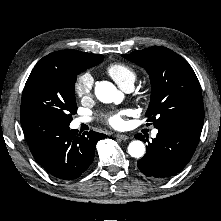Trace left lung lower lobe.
<instances>
[{
  "label": "left lung lower lobe",
  "instance_id": "left-lung-lower-lobe-1",
  "mask_svg": "<svg viewBox=\"0 0 221 221\" xmlns=\"http://www.w3.org/2000/svg\"><path fill=\"white\" fill-rule=\"evenodd\" d=\"M203 122L182 120L158 128L147 153L137 162L139 170L153 179L177 174L190 161L198 145ZM135 138L143 140L141 134Z\"/></svg>",
  "mask_w": 221,
  "mask_h": 221
}]
</instances>
